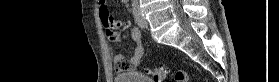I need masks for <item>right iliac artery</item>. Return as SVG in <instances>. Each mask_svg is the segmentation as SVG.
<instances>
[{"label":"right iliac artery","mask_w":279,"mask_h":82,"mask_svg":"<svg viewBox=\"0 0 279 82\" xmlns=\"http://www.w3.org/2000/svg\"><path fill=\"white\" fill-rule=\"evenodd\" d=\"M124 1V3H127L128 2V0H123Z\"/></svg>","instance_id":"right-iliac-artery-1"}]
</instances>
